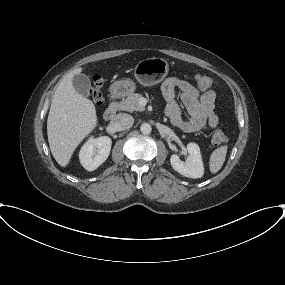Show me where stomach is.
<instances>
[{
	"mask_svg": "<svg viewBox=\"0 0 285 285\" xmlns=\"http://www.w3.org/2000/svg\"><path fill=\"white\" fill-rule=\"evenodd\" d=\"M169 72V64L163 58H147L137 63L134 68V76L136 80L143 86H153L165 79ZM136 84L130 79H122L115 81L110 92L114 97H124L133 93Z\"/></svg>",
	"mask_w": 285,
	"mask_h": 285,
	"instance_id": "1",
	"label": "stomach"
}]
</instances>
